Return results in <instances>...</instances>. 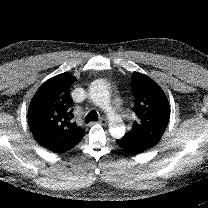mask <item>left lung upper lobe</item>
I'll use <instances>...</instances> for the list:
<instances>
[{
    "instance_id": "5c2ea615",
    "label": "left lung upper lobe",
    "mask_w": 208,
    "mask_h": 208,
    "mask_svg": "<svg viewBox=\"0 0 208 208\" xmlns=\"http://www.w3.org/2000/svg\"><path fill=\"white\" fill-rule=\"evenodd\" d=\"M131 85L136 120L123 138L150 149L159 142L168 125L169 102L161 87L145 74L133 72Z\"/></svg>"
}]
</instances>
